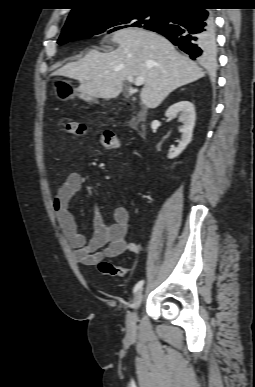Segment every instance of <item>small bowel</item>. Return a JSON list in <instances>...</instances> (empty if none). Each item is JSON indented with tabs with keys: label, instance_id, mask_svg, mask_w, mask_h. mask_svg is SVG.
Masks as SVG:
<instances>
[{
	"label": "small bowel",
	"instance_id": "1",
	"mask_svg": "<svg viewBox=\"0 0 255 387\" xmlns=\"http://www.w3.org/2000/svg\"><path fill=\"white\" fill-rule=\"evenodd\" d=\"M81 188V174L70 172L58 188L52 204L57 224L73 248L75 261L84 266H93L105 258L117 257L125 252H138L140 244L127 240L130 214L123 206L113 209L112 221L106 223L100 207L96 205L92 237L87 239L78 231L69 204Z\"/></svg>",
	"mask_w": 255,
	"mask_h": 387
}]
</instances>
